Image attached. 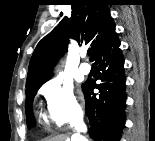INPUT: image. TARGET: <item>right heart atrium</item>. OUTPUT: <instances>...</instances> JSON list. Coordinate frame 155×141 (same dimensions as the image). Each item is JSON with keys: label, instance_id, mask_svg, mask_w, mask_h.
<instances>
[{"label": "right heart atrium", "instance_id": "1", "mask_svg": "<svg viewBox=\"0 0 155 141\" xmlns=\"http://www.w3.org/2000/svg\"><path fill=\"white\" fill-rule=\"evenodd\" d=\"M40 94L45 100L48 118L58 127L73 124L81 118V107L73 86L61 77L47 81Z\"/></svg>", "mask_w": 155, "mask_h": 141}]
</instances>
